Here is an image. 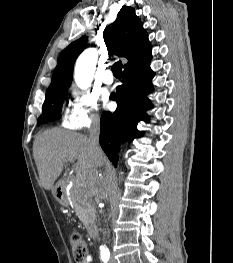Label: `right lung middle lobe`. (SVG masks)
Here are the masks:
<instances>
[{
	"mask_svg": "<svg viewBox=\"0 0 233 263\" xmlns=\"http://www.w3.org/2000/svg\"><path fill=\"white\" fill-rule=\"evenodd\" d=\"M66 94L67 90L65 88L46 95L45 102L42 106V114L38 118V124L61 117L60 112Z\"/></svg>",
	"mask_w": 233,
	"mask_h": 263,
	"instance_id": "dd1d6c3e",
	"label": "right lung middle lobe"
}]
</instances>
